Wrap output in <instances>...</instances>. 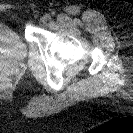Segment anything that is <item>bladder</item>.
Segmentation results:
<instances>
[{"label":"bladder","instance_id":"obj_1","mask_svg":"<svg viewBox=\"0 0 133 133\" xmlns=\"http://www.w3.org/2000/svg\"><path fill=\"white\" fill-rule=\"evenodd\" d=\"M26 55L27 45L23 36L8 23L0 22V59L14 62Z\"/></svg>","mask_w":133,"mask_h":133}]
</instances>
